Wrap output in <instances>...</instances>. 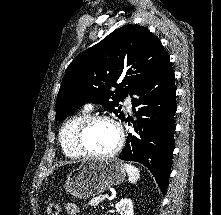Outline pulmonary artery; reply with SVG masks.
Here are the masks:
<instances>
[{
    "label": "pulmonary artery",
    "mask_w": 221,
    "mask_h": 215,
    "mask_svg": "<svg viewBox=\"0 0 221 215\" xmlns=\"http://www.w3.org/2000/svg\"><path fill=\"white\" fill-rule=\"evenodd\" d=\"M125 104H126L127 109H128V110H131V108H132V102H131L130 98H127V99H126ZM87 109H91V106H90V105L87 106Z\"/></svg>",
    "instance_id": "e3ab8cb5"
}]
</instances>
